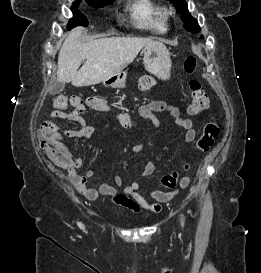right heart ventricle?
<instances>
[{
  "label": "right heart ventricle",
  "instance_id": "1",
  "mask_svg": "<svg viewBox=\"0 0 261 273\" xmlns=\"http://www.w3.org/2000/svg\"><path fill=\"white\" fill-rule=\"evenodd\" d=\"M129 10L137 26L158 33L167 30V12L153 0H133Z\"/></svg>",
  "mask_w": 261,
  "mask_h": 273
}]
</instances>
